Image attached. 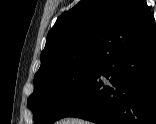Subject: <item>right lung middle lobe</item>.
I'll list each match as a JSON object with an SVG mask.
<instances>
[{
	"label": "right lung middle lobe",
	"instance_id": "obj_1",
	"mask_svg": "<svg viewBox=\"0 0 156 124\" xmlns=\"http://www.w3.org/2000/svg\"><path fill=\"white\" fill-rule=\"evenodd\" d=\"M101 60L75 63L34 79L28 99L35 124H53L88 86Z\"/></svg>",
	"mask_w": 156,
	"mask_h": 124
}]
</instances>
